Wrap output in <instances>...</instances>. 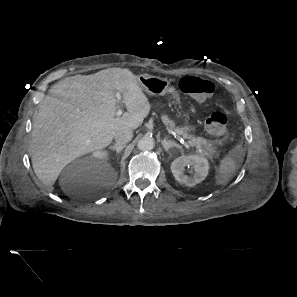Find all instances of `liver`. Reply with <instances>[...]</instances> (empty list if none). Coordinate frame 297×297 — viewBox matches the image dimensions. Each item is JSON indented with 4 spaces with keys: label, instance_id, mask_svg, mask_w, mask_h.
Wrapping results in <instances>:
<instances>
[{
    "label": "liver",
    "instance_id": "obj_1",
    "mask_svg": "<svg viewBox=\"0 0 297 297\" xmlns=\"http://www.w3.org/2000/svg\"><path fill=\"white\" fill-rule=\"evenodd\" d=\"M127 112L116 115L115 92ZM33 123L30 154L37 178L53 190L63 168L76 158L107 147L114 135L138 128L151 105L128 69L108 68L65 78L50 89Z\"/></svg>",
    "mask_w": 297,
    "mask_h": 297
}]
</instances>
